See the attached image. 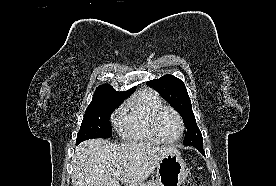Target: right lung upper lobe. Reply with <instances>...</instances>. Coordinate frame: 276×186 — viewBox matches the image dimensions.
I'll return each instance as SVG.
<instances>
[{
	"label": "right lung upper lobe",
	"mask_w": 276,
	"mask_h": 186,
	"mask_svg": "<svg viewBox=\"0 0 276 186\" xmlns=\"http://www.w3.org/2000/svg\"><path fill=\"white\" fill-rule=\"evenodd\" d=\"M134 89H135V87L132 89H129L128 91H125V92H117L114 90V88L111 85L103 84L96 89L95 94L115 93V94H119V95H130L134 91Z\"/></svg>",
	"instance_id": "obj_1"
}]
</instances>
